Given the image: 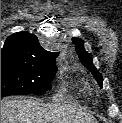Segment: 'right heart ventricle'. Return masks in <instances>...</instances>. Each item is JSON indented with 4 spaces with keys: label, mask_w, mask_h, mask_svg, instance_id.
<instances>
[{
    "label": "right heart ventricle",
    "mask_w": 122,
    "mask_h": 123,
    "mask_svg": "<svg viewBox=\"0 0 122 123\" xmlns=\"http://www.w3.org/2000/svg\"><path fill=\"white\" fill-rule=\"evenodd\" d=\"M87 90H88L87 86H83L82 91H87Z\"/></svg>",
    "instance_id": "obj_1"
}]
</instances>
